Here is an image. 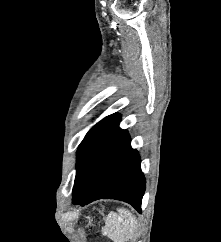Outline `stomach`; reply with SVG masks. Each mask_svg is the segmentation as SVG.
I'll return each mask as SVG.
<instances>
[{"mask_svg":"<svg viewBox=\"0 0 221 242\" xmlns=\"http://www.w3.org/2000/svg\"><path fill=\"white\" fill-rule=\"evenodd\" d=\"M88 221H89L88 225H91L92 224V219L90 217H88Z\"/></svg>","mask_w":221,"mask_h":242,"instance_id":"0dacf381","label":"stomach"}]
</instances>
